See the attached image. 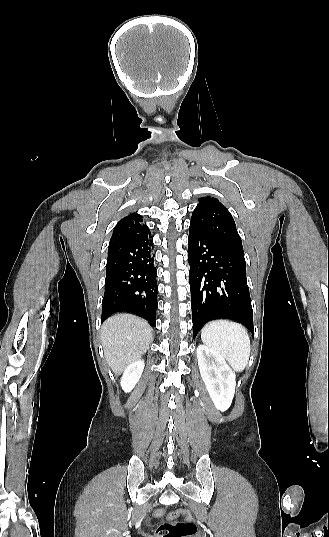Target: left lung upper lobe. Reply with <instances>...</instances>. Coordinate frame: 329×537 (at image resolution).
Listing matches in <instances>:
<instances>
[{
  "instance_id": "1",
  "label": "left lung upper lobe",
  "mask_w": 329,
  "mask_h": 537,
  "mask_svg": "<svg viewBox=\"0 0 329 537\" xmlns=\"http://www.w3.org/2000/svg\"><path fill=\"white\" fill-rule=\"evenodd\" d=\"M190 224L213 239L243 251L234 219L228 209L217 199L210 196L200 198L199 204L193 211Z\"/></svg>"
}]
</instances>
